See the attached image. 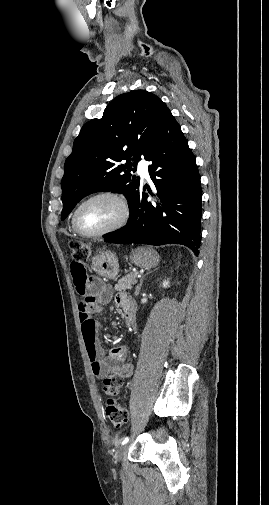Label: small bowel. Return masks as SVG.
Listing matches in <instances>:
<instances>
[{"mask_svg": "<svg viewBox=\"0 0 269 505\" xmlns=\"http://www.w3.org/2000/svg\"><path fill=\"white\" fill-rule=\"evenodd\" d=\"M71 265V277L75 286L74 292L79 296L77 302L79 320L92 372L97 378L102 379L108 375H116L124 380L132 375L134 369L133 364L128 360L127 349L120 346L105 352L97 338L101 326L92 317V315H102L104 313L105 309L102 302L109 300L111 288L98 281H93L92 288L96 297L93 298V292L89 289V275L83 268V261L74 259ZM116 302L122 308L127 304L133 307L130 298L125 293H119L116 296Z\"/></svg>", "mask_w": 269, "mask_h": 505, "instance_id": "small-bowel-1", "label": "small bowel"}]
</instances>
